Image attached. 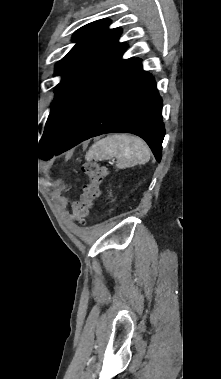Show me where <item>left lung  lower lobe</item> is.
<instances>
[{
	"label": "left lung lower lobe",
	"instance_id": "obj_1",
	"mask_svg": "<svg viewBox=\"0 0 221 379\" xmlns=\"http://www.w3.org/2000/svg\"><path fill=\"white\" fill-rule=\"evenodd\" d=\"M161 112L162 99L154 79L143 71L140 59H135L82 116L53 154L94 136L122 132L143 138L160 162L165 135Z\"/></svg>",
	"mask_w": 221,
	"mask_h": 379
}]
</instances>
